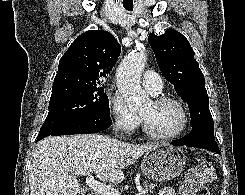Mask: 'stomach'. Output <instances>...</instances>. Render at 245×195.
I'll use <instances>...</instances> for the list:
<instances>
[{
	"label": "stomach",
	"mask_w": 245,
	"mask_h": 195,
	"mask_svg": "<svg viewBox=\"0 0 245 195\" xmlns=\"http://www.w3.org/2000/svg\"><path fill=\"white\" fill-rule=\"evenodd\" d=\"M185 164V155L179 148L159 145L144 153L141 170L148 179L162 182L178 177Z\"/></svg>",
	"instance_id": "stomach-1"
}]
</instances>
